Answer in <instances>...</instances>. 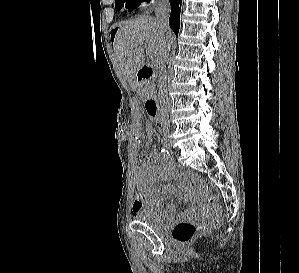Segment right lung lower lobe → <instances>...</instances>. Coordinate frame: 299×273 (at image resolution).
<instances>
[{
  "label": "right lung lower lobe",
  "instance_id": "right-lung-lower-lobe-1",
  "mask_svg": "<svg viewBox=\"0 0 299 273\" xmlns=\"http://www.w3.org/2000/svg\"><path fill=\"white\" fill-rule=\"evenodd\" d=\"M142 0H137L128 10L132 11L135 9ZM171 5V14L169 18L170 28L174 31L176 36L178 35L180 28V10H181V0H169Z\"/></svg>",
  "mask_w": 299,
  "mask_h": 273
}]
</instances>
